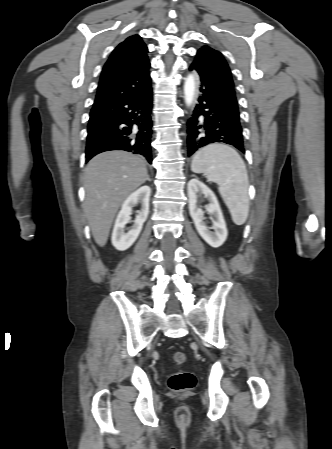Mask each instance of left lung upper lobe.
Returning a JSON list of instances; mask_svg holds the SVG:
<instances>
[{
	"mask_svg": "<svg viewBox=\"0 0 332 449\" xmlns=\"http://www.w3.org/2000/svg\"><path fill=\"white\" fill-rule=\"evenodd\" d=\"M193 63L215 72L218 76L224 79L229 85L234 87L233 80L231 77V71L220 52L208 46H203L198 50Z\"/></svg>",
	"mask_w": 332,
	"mask_h": 449,
	"instance_id": "left-lung-upper-lobe-1",
	"label": "left lung upper lobe"
}]
</instances>
